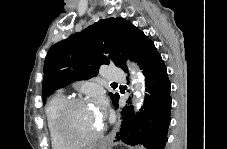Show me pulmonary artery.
I'll list each match as a JSON object with an SVG mask.
<instances>
[{"instance_id": "1", "label": "pulmonary artery", "mask_w": 227, "mask_h": 149, "mask_svg": "<svg viewBox=\"0 0 227 149\" xmlns=\"http://www.w3.org/2000/svg\"><path fill=\"white\" fill-rule=\"evenodd\" d=\"M105 77L109 82H117L125 79V73L121 68L106 66Z\"/></svg>"}]
</instances>
